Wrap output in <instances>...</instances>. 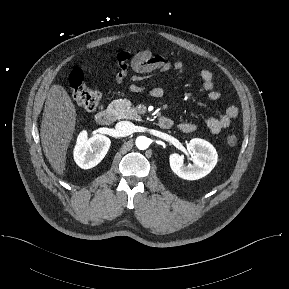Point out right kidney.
Masks as SVG:
<instances>
[{
    "instance_id": "right-kidney-1",
    "label": "right kidney",
    "mask_w": 289,
    "mask_h": 289,
    "mask_svg": "<svg viewBox=\"0 0 289 289\" xmlns=\"http://www.w3.org/2000/svg\"><path fill=\"white\" fill-rule=\"evenodd\" d=\"M111 141L108 137L95 134L88 138L87 131L79 133L74 148V160L82 169L95 167L107 154Z\"/></svg>"
}]
</instances>
